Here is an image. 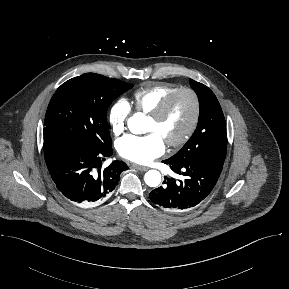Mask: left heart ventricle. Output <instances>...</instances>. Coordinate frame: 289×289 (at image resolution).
<instances>
[{
    "instance_id": "left-heart-ventricle-1",
    "label": "left heart ventricle",
    "mask_w": 289,
    "mask_h": 289,
    "mask_svg": "<svg viewBox=\"0 0 289 289\" xmlns=\"http://www.w3.org/2000/svg\"><path fill=\"white\" fill-rule=\"evenodd\" d=\"M194 113V102L188 93L179 94L166 115L159 121L147 119L146 132L157 133L163 141H173L181 137L189 127Z\"/></svg>"
}]
</instances>
